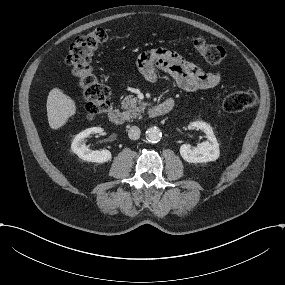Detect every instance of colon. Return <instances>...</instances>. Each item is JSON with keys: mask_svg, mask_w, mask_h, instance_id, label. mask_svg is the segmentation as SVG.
<instances>
[{"mask_svg": "<svg viewBox=\"0 0 285 285\" xmlns=\"http://www.w3.org/2000/svg\"><path fill=\"white\" fill-rule=\"evenodd\" d=\"M108 39V31L96 28L85 35H80L71 45L66 63L83 92L86 101V117L93 119L110 108V90L96 77L92 58L96 50ZM194 49L210 64L219 65L226 57L225 49L220 45L210 44L203 38L191 39ZM257 103V94L252 89L235 91L221 100L222 108L230 113H238L252 108Z\"/></svg>", "mask_w": 285, "mask_h": 285, "instance_id": "colon-1", "label": "colon"}]
</instances>
